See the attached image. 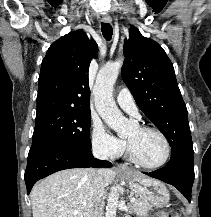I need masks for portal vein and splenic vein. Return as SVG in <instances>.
<instances>
[{
	"mask_svg": "<svg viewBox=\"0 0 211 217\" xmlns=\"http://www.w3.org/2000/svg\"><path fill=\"white\" fill-rule=\"evenodd\" d=\"M135 201H136V200H135L134 197L130 198V202H131V204H133ZM76 213H77V211H76Z\"/></svg>",
	"mask_w": 211,
	"mask_h": 217,
	"instance_id": "obj_1",
	"label": "portal vein and splenic vein"
}]
</instances>
